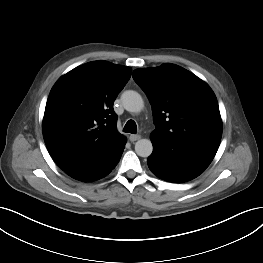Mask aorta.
Returning a JSON list of instances; mask_svg holds the SVG:
<instances>
[{
    "label": "aorta",
    "mask_w": 263,
    "mask_h": 263,
    "mask_svg": "<svg viewBox=\"0 0 263 263\" xmlns=\"http://www.w3.org/2000/svg\"><path fill=\"white\" fill-rule=\"evenodd\" d=\"M124 108L129 112L138 113L144 107L141 95L133 90L125 91L121 95ZM153 145L149 139H140L135 144V152L140 157H149L152 154Z\"/></svg>",
    "instance_id": "1"
}]
</instances>
